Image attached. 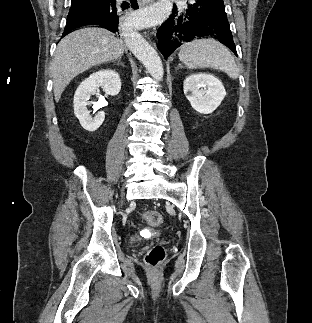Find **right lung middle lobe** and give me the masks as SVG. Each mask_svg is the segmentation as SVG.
<instances>
[{
    "label": "right lung middle lobe",
    "instance_id": "dd1d6c3e",
    "mask_svg": "<svg viewBox=\"0 0 312 323\" xmlns=\"http://www.w3.org/2000/svg\"><path fill=\"white\" fill-rule=\"evenodd\" d=\"M91 0H71V7L76 6L82 2H90Z\"/></svg>",
    "mask_w": 312,
    "mask_h": 323
}]
</instances>
